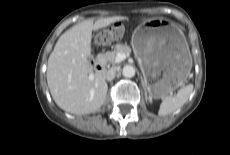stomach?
I'll return each instance as SVG.
<instances>
[{
    "instance_id": "0dacf381",
    "label": "stomach",
    "mask_w": 230,
    "mask_h": 155,
    "mask_svg": "<svg viewBox=\"0 0 230 155\" xmlns=\"http://www.w3.org/2000/svg\"><path fill=\"white\" fill-rule=\"evenodd\" d=\"M131 46L149 98H166L187 80L192 57L184 34L175 25L163 19L143 21L133 32Z\"/></svg>"
}]
</instances>
